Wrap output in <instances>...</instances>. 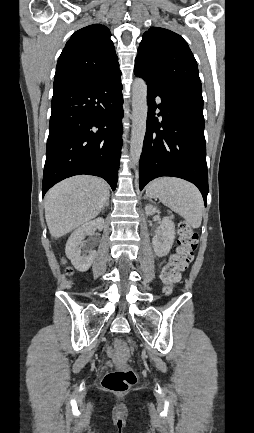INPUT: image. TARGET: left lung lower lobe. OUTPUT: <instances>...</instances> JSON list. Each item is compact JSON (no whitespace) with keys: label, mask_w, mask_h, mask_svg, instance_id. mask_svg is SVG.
Returning <instances> with one entry per match:
<instances>
[{"label":"left lung lower lobe","mask_w":254,"mask_h":433,"mask_svg":"<svg viewBox=\"0 0 254 433\" xmlns=\"http://www.w3.org/2000/svg\"><path fill=\"white\" fill-rule=\"evenodd\" d=\"M134 73L148 87L147 129L139 163L140 190L157 177H179L199 188L206 205L208 171L203 98L165 88L140 69L134 68ZM156 98H161L160 104H156ZM157 108L162 119L155 116Z\"/></svg>","instance_id":"1"}]
</instances>
